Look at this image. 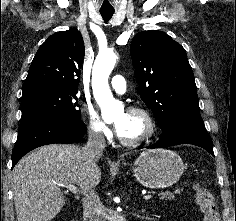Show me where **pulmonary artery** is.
Returning <instances> with one entry per match:
<instances>
[{"label":"pulmonary artery","mask_w":236,"mask_h":221,"mask_svg":"<svg viewBox=\"0 0 236 221\" xmlns=\"http://www.w3.org/2000/svg\"><path fill=\"white\" fill-rule=\"evenodd\" d=\"M111 87L119 94H123L126 89V80L122 75H115L111 79Z\"/></svg>","instance_id":"pulmonary-artery-1"}]
</instances>
